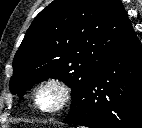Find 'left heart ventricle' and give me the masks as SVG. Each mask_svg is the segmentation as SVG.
Wrapping results in <instances>:
<instances>
[{"mask_svg":"<svg viewBox=\"0 0 142 128\" xmlns=\"http://www.w3.org/2000/svg\"><path fill=\"white\" fill-rule=\"evenodd\" d=\"M58 101L57 93L52 90H46L41 97V104L44 108H51L56 105Z\"/></svg>","mask_w":142,"mask_h":128,"instance_id":"b2bd125f","label":"left heart ventricle"}]
</instances>
